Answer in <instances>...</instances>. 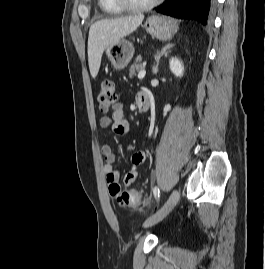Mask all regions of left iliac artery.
I'll use <instances>...</instances> for the list:
<instances>
[{"label":"left iliac artery","mask_w":265,"mask_h":269,"mask_svg":"<svg viewBox=\"0 0 265 269\" xmlns=\"http://www.w3.org/2000/svg\"><path fill=\"white\" fill-rule=\"evenodd\" d=\"M153 194H154L155 198L158 200L159 196H160V190H159V188L157 186H155L153 188Z\"/></svg>","instance_id":"left-iliac-artery-1"}]
</instances>
